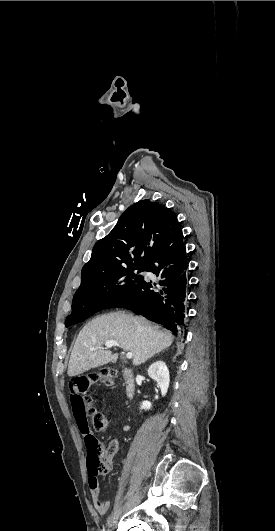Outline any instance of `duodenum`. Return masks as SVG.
Listing matches in <instances>:
<instances>
[{"label": "duodenum", "mask_w": 275, "mask_h": 531, "mask_svg": "<svg viewBox=\"0 0 275 531\" xmlns=\"http://www.w3.org/2000/svg\"><path fill=\"white\" fill-rule=\"evenodd\" d=\"M121 376L123 378L125 393L128 398H132L136 389V379L132 368L124 367L121 369Z\"/></svg>", "instance_id": "obj_1"}]
</instances>
